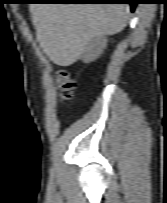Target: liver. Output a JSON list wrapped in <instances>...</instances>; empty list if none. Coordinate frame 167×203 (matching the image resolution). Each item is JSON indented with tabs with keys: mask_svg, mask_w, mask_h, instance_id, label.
I'll list each match as a JSON object with an SVG mask.
<instances>
[{
	"mask_svg": "<svg viewBox=\"0 0 167 203\" xmlns=\"http://www.w3.org/2000/svg\"><path fill=\"white\" fill-rule=\"evenodd\" d=\"M30 10L40 46L59 66L76 62L94 38L121 32L129 18L123 4H33Z\"/></svg>",
	"mask_w": 167,
	"mask_h": 203,
	"instance_id": "6515ba94",
	"label": "liver"
}]
</instances>
